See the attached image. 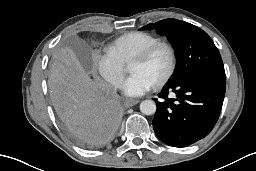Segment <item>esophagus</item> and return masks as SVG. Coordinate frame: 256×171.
Segmentation results:
<instances>
[{"instance_id":"1","label":"esophagus","mask_w":256,"mask_h":171,"mask_svg":"<svg viewBox=\"0 0 256 171\" xmlns=\"http://www.w3.org/2000/svg\"><path fill=\"white\" fill-rule=\"evenodd\" d=\"M138 103H139V100H137V99H126L125 102H124V105L126 107H132V106H134Z\"/></svg>"}]
</instances>
